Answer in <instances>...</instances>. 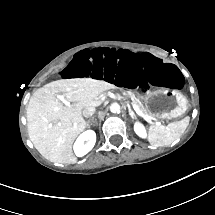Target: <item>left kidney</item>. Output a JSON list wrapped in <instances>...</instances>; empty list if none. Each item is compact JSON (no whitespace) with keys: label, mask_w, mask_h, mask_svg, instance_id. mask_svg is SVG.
I'll use <instances>...</instances> for the list:
<instances>
[{"label":"left kidney","mask_w":215,"mask_h":215,"mask_svg":"<svg viewBox=\"0 0 215 215\" xmlns=\"http://www.w3.org/2000/svg\"><path fill=\"white\" fill-rule=\"evenodd\" d=\"M135 133L142 139H147V130L143 123L140 121H135L133 125Z\"/></svg>","instance_id":"5707ae66"}]
</instances>
